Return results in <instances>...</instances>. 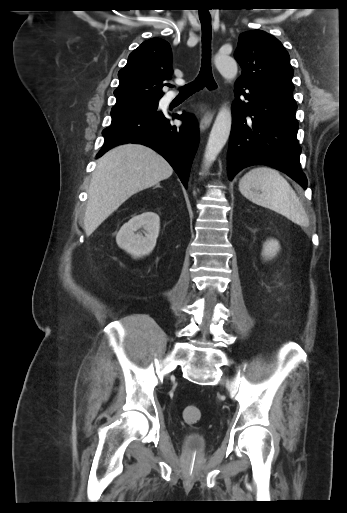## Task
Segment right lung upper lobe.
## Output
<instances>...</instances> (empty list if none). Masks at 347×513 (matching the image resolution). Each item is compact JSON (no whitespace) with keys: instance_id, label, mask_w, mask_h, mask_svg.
Listing matches in <instances>:
<instances>
[{"instance_id":"1","label":"right lung upper lobe","mask_w":347,"mask_h":513,"mask_svg":"<svg viewBox=\"0 0 347 513\" xmlns=\"http://www.w3.org/2000/svg\"><path fill=\"white\" fill-rule=\"evenodd\" d=\"M171 62V47L167 41L160 38L144 41L129 55L126 66L118 73L119 86L114 91L116 105L160 99L164 82L171 79Z\"/></svg>"}]
</instances>
